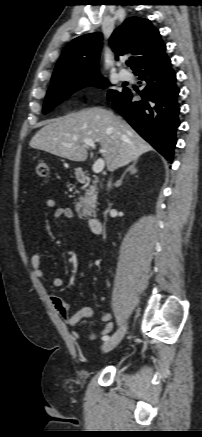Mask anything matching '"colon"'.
I'll use <instances>...</instances> for the list:
<instances>
[{"label":"colon","instance_id":"5ec220e1","mask_svg":"<svg viewBox=\"0 0 202 437\" xmlns=\"http://www.w3.org/2000/svg\"><path fill=\"white\" fill-rule=\"evenodd\" d=\"M36 175L42 178H45L49 174V165L45 160H41L36 165Z\"/></svg>","mask_w":202,"mask_h":437}]
</instances>
